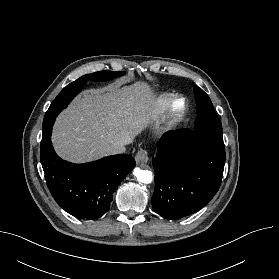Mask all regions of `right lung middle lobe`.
Wrapping results in <instances>:
<instances>
[{
    "instance_id": "dd1d6c3e",
    "label": "right lung middle lobe",
    "mask_w": 279,
    "mask_h": 279,
    "mask_svg": "<svg viewBox=\"0 0 279 279\" xmlns=\"http://www.w3.org/2000/svg\"><path fill=\"white\" fill-rule=\"evenodd\" d=\"M123 74L124 72L99 71L91 74H86L78 78L76 81L67 85L55 98V100L50 105L48 111L44 116L41 151L50 142L52 126L54 124L56 116L62 109L66 108L70 101L80 92L83 82L88 80L106 81L121 76Z\"/></svg>"
}]
</instances>
